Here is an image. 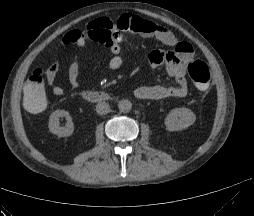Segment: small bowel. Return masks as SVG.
<instances>
[{
	"label": "small bowel",
	"mask_w": 254,
	"mask_h": 216,
	"mask_svg": "<svg viewBox=\"0 0 254 216\" xmlns=\"http://www.w3.org/2000/svg\"><path fill=\"white\" fill-rule=\"evenodd\" d=\"M89 29H101L110 33L111 42L109 51L111 58L108 62L111 70H118L123 59L120 55V43L123 33L132 32L146 38H153L167 47L169 51H153L148 55V63L151 69L159 66L166 67L168 75L176 81V86L167 87L162 85H142L134 90V96L142 100H160L173 97H184L188 92V84L185 78L186 62L194 54V48L191 43L178 40L177 37L167 28L139 17L123 16L116 24L105 18H99L88 24ZM88 39L84 32L79 29L68 32L62 39L63 45L76 44L83 47ZM58 68L50 66L46 71V80L54 96H62L63 87L56 82ZM68 82L72 88H78L80 85L79 62L73 60L68 67Z\"/></svg>",
	"instance_id": "obj_1"
}]
</instances>
